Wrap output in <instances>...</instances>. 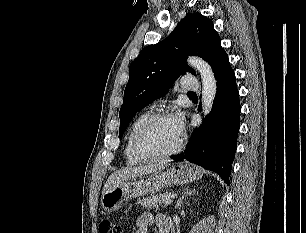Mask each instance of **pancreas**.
I'll return each mask as SVG.
<instances>
[{"instance_id": "obj_1", "label": "pancreas", "mask_w": 306, "mask_h": 233, "mask_svg": "<svg viewBox=\"0 0 306 233\" xmlns=\"http://www.w3.org/2000/svg\"><path fill=\"white\" fill-rule=\"evenodd\" d=\"M166 199H168V194H159L144 198L143 200H140L139 203L147 209L154 208L157 210L159 208V205L165 207L164 202Z\"/></svg>"}]
</instances>
